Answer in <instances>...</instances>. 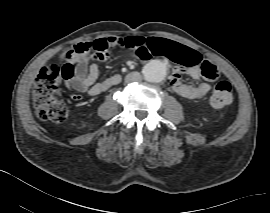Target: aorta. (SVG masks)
Here are the masks:
<instances>
[{"mask_svg": "<svg viewBox=\"0 0 270 213\" xmlns=\"http://www.w3.org/2000/svg\"><path fill=\"white\" fill-rule=\"evenodd\" d=\"M167 73V65L159 60H152L143 68L144 78L148 82L159 83L165 79Z\"/></svg>", "mask_w": 270, "mask_h": 213, "instance_id": "aorta-1", "label": "aorta"}]
</instances>
